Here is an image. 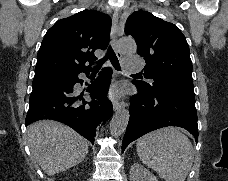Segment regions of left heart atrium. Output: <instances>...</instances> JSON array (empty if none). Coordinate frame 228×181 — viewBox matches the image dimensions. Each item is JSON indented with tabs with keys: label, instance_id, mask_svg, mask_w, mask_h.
<instances>
[{
	"label": "left heart atrium",
	"instance_id": "left-heart-atrium-1",
	"mask_svg": "<svg viewBox=\"0 0 228 181\" xmlns=\"http://www.w3.org/2000/svg\"><path fill=\"white\" fill-rule=\"evenodd\" d=\"M113 94H116V90L113 91Z\"/></svg>",
	"mask_w": 228,
	"mask_h": 181
}]
</instances>
